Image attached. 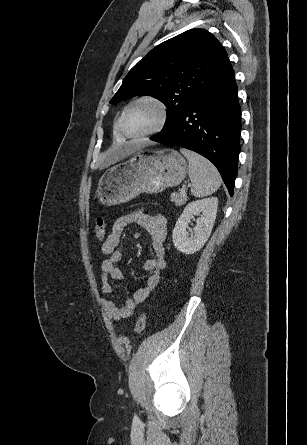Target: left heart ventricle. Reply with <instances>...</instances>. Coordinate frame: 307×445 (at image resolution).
Segmentation results:
<instances>
[{"mask_svg":"<svg viewBox=\"0 0 307 445\" xmlns=\"http://www.w3.org/2000/svg\"><path fill=\"white\" fill-rule=\"evenodd\" d=\"M159 119V109L154 104L144 102L129 108L126 124L131 133H141L154 128Z\"/></svg>","mask_w":307,"mask_h":445,"instance_id":"b2bd125f","label":"left heart ventricle"}]
</instances>
